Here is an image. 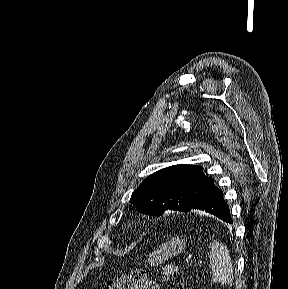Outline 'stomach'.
I'll use <instances>...</instances> for the list:
<instances>
[{"mask_svg":"<svg viewBox=\"0 0 288 289\" xmlns=\"http://www.w3.org/2000/svg\"><path fill=\"white\" fill-rule=\"evenodd\" d=\"M186 247L184 239L179 237H173L170 240L164 242L153 253L149 255L148 262L151 265H159L165 262L167 259L172 258L183 252Z\"/></svg>","mask_w":288,"mask_h":289,"instance_id":"obj_1","label":"stomach"}]
</instances>
